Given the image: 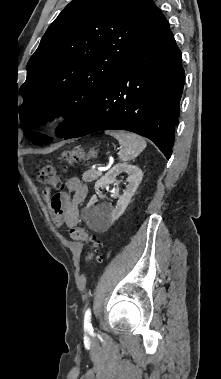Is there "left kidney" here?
<instances>
[{
    "label": "left kidney",
    "mask_w": 221,
    "mask_h": 379,
    "mask_svg": "<svg viewBox=\"0 0 221 379\" xmlns=\"http://www.w3.org/2000/svg\"><path fill=\"white\" fill-rule=\"evenodd\" d=\"M125 172L128 174V185L123 191V195L118 194V190H114L111 197L118 198V203L115 208L107 205L94 206L96 196H93L90 202L83 210V218L89 228L93 230L107 229L115 220H117L125 211L134 193L136 192L142 177L143 172L140 168L128 164H116L111 168L100 180L95 184V189L99 191L106 184L116 182V177Z\"/></svg>",
    "instance_id": "5707ae66"
}]
</instances>
